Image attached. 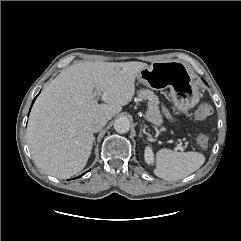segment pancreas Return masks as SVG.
<instances>
[{"label":"pancreas","instance_id":"1","mask_svg":"<svg viewBox=\"0 0 241 241\" xmlns=\"http://www.w3.org/2000/svg\"><path fill=\"white\" fill-rule=\"evenodd\" d=\"M139 100H148V110L145 114L146 120L150 121L155 126L162 124V115L158 107V97L148 89H141L138 91Z\"/></svg>","mask_w":241,"mask_h":241}]
</instances>
